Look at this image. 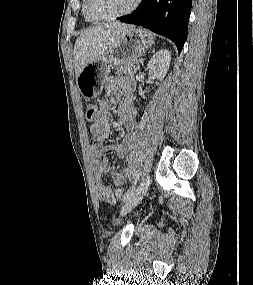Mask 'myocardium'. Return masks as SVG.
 <instances>
[{
  "label": "myocardium",
  "mask_w": 253,
  "mask_h": 285,
  "mask_svg": "<svg viewBox=\"0 0 253 285\" xmlns=\"http://www.w3.org/2000/svg\"><path fill=\"white\" fill-rule=\"evenodd\" d=\"M141 1L142 0H134L132 5L128 9H126V10L120 12V13H117V14H114V15H111V16H107V17H96L90 11V8H89L90 0H84V11H85L86 16L91 21H94V22L111 21V20H115V19L121 18L123 16H126L128 14H131L133 11H135L138 8V6L140 5Z\"/></svg>",
  "instance_id": "myocardium-1"
}]
</instances>
